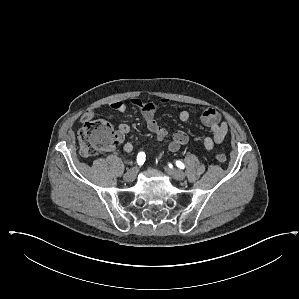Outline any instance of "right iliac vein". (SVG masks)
<instances>
[{"label": "right iliac vein", "instance_id": "1", "mask_svg": "<svg viewBox=\"0 0 299 299\" xmlns=\"http://www.w3.org/2000/svg\"><path fill=\"white\" fill-rule=\"evenodd\" d=\"M137 173H138V167L137 166L131 168L124 175V180L127 181V182H133L136 178Z\"/></svg>", "mask_w": 299, "mask_h": 299}]
</instances>
